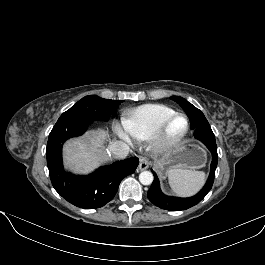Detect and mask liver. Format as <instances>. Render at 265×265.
Wrapping results in <instances>:
<instances>
[{
    "instance_id": "liver-1",
    "label": "liver",
    "mask_w": 265,
    "mask_h": 265,
    "mask_svg": "<svg viewBox=\"0 0 265 265\" xmlns=\"http://www.w3.org/2000/svg\"><path fill=\"white\" fill-rule=\"evenodd\" d=\"M109 134L103 129L91 130L81 138L69 140L63 148L65 166L75 173H88L108 157L103 144Z\"/></svg>"
}]
</instances>
